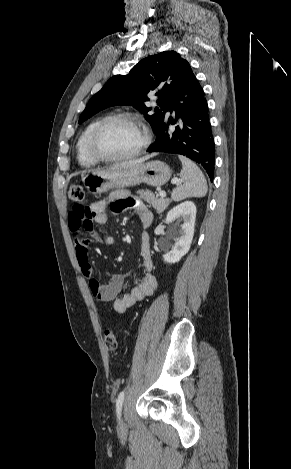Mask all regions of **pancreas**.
I'll return each mask as SVG.
<instances>
[{"mask_svg":"<svg viewBox=\"0 0 291 469\" xmlns=\"http://www.w3.org/2000/svg\"><path fill=\"white\" fill-rule=\"evenodd\" d=\"M140 199H143L147 203L153 206L156 209L157 213H162L170 204V199L168 198H158L150 190H139L137 191Z\"/></svg>","mask_w":291,"mask_h":469,"instance_id":"obj_1","label":"pancreas"}]
</instances>
